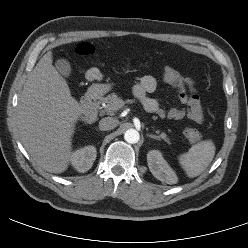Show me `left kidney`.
<instances>
[{
    "mask_svg": "<svg viewBox=\"0 0 248 248\" xmlns=\"http://www.w3.org/2000/svg\"><path fill=\"white\" fill-rule=\"evenodd\" d=\"M147 163L150 172L155 178L166 184H175L178 181L176 173L168 165L158 150H151L147 154Z\"/></svg>",
    "mask_w": 248,
    "mask_h": 248,
    "instance_id": "left-kidney-1",
    "label": "left kidney"
}]
</instances>
